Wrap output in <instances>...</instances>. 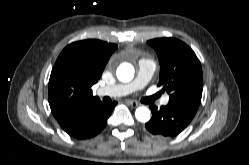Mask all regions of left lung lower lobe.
<instances>
[{
    "mask_svg": "<svg viewBox=\"0 0 249 165\" xmlns=\"http://www.w3.org/2000/svg\"><path fill=\"white\" fill-rule=\"evenodd\" d=\"M152 118L145 124L146 129L159 137H174L182 132L192 121L195 112L174 104L157 109L150 106Z\"/></svg>",
    "mask_w": 249,
    "mask_h": 165,
    "instance_id": "left-lung-lower-lobe-1",
    "label": "left lung lower lobe"
}]
</instances>
